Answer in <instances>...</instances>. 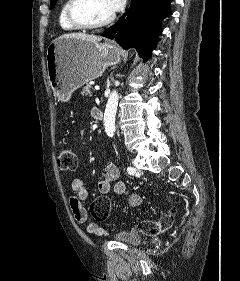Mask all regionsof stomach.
Instances as JSON below:
<instances>
[{
	"label": "stomach",
	"mask_w": 240,
	"mask_h": 281,
	"mask_svg": "<svg viewBox=\"0 0 240 281\" xmlns=\"http://www.w3.org/2000/svg\"><path fill=\"white\" fill-rule=\"evenodd\" d=\"M122 52L111 43H93L78 38H57L47 48L49 83L62 100L120 62Z\"/></svg>",
	"instance_id": "0dacf381"
}]
</instances>
